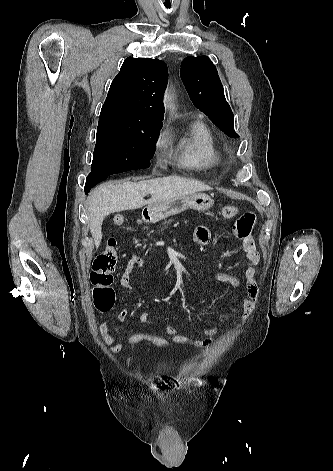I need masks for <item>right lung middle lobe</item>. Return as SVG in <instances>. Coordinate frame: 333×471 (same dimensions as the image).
Returning a JSON list of instances; mask_svg holds the SVG:
<instances>
[{"label": "right lung middle lobe", "mask_w": 333, "mask_h": 471, "mask_svg": "<svg viewBox=\"0 0 333 471\" xmlns=\"http://www.w3.org/2000/svg\"><path fill=\"white\" fill-rule=\"evenodd\" d=\"M162 123L99 118L91 175L111 176L150 166Z\"/></svg>", "instance_id": "right-lung-middle-lobe-1"}]
</instances>
